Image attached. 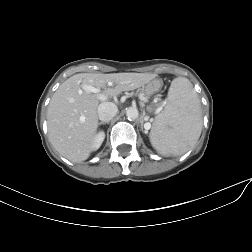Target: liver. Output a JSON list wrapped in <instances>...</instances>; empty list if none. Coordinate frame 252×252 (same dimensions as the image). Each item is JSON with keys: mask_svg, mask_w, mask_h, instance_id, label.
<instances>
[{"mask_svg": "<svg viewBox=\"0 0 252 252\" xmlns=\"http://www.w3.org/2000/svg\"><path fill=\"white\" fill-rule=\"evenodd\" d=\"M148 73H80L64 81L51 98L47 110L48 136L55 150L72 162L90 156L98 128L99 94L86 86L102 89L105 100L150 82Z\"/></svg>", "mask_w": 252, "mask_h": 252, "instance_id": "1", "label": "liver"}]
</instances>
